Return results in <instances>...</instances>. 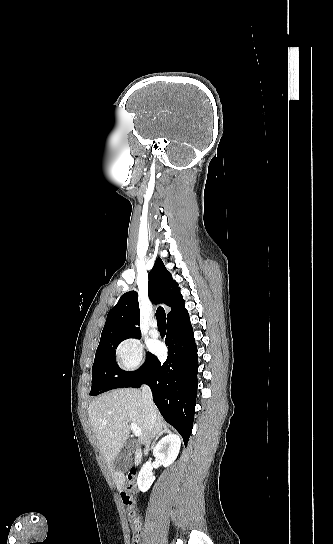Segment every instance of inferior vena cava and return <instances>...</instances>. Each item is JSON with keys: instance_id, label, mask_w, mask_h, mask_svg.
<instances>
[{"instance_id": "inferior-vena-cava-1", "label": "inferior vena cava", "mask_w": 333, "mask_h": 544, "mask_svg": "<svg viewBox=\"0 0 333 544\" xmlns=\"http://www.w3.org/2000/svg\"><path fill=\"white\" fill-rule=\"evenodd\" d=\"M142 399L144 403L147 424L150 428H152L156 423L157 408L153 402L151 390L146 385L142 387ZM148 447L149 445H147V451H148Z\"/></svg>"}]
</instances>
